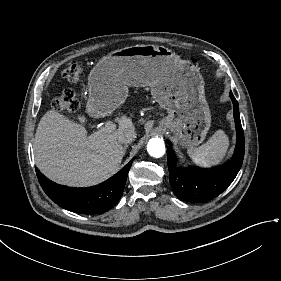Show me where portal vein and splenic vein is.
I'll use <instances>...</instances> for the list:
<instances>
[{"label":"portal vein and splenic vein","instance_id":"1","mask_svg":"<svg viewBox=\"0 0 281 281\" xmlns=\"http://www.w3.org/2000/svg\"><path fill=\"white\" fill-rule=\"evenodd\" d=\"M120 129V124L119 123H113V122H105L104 126H100L97 129V134L100 137H105L108 133H112L115 130H119Z\"/></svg>","mask_w":281,"mask_h":281}]
</instances>
